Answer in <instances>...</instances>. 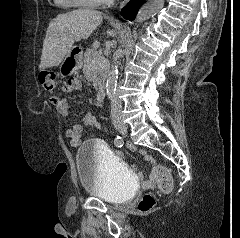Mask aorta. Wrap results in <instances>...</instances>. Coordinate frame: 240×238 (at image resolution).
<instances>
[{
    "label": "aorta",
    "mask_w": 240,
    "mask_h": 238,
    "mask_svg": "<svg viewBox=\"0 0 240 238\" xmlns=\"http://www.w3.org/2000/svg\"><path fill=\"white\" fill-rule=\"evenodd\" d=\"M164 1L165 0H147L139 10L135 22L140 23L153 17L162 9ZM117 80L118 67L112 66L106 81V93L109 99H111L116 93Z\"/></svg>",
    "instance_id": "762f6f07"
}]
</instances>
